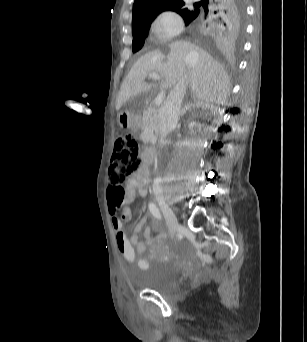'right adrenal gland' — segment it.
<instances>
[{
	"instance_id": "1",
	"label": "right adrenal gland",
	"mask_w": 307,
	"mask_h": 342,
	"mask_svg": "<svg viewBox=\"0 0 307 342\" xmlns=\"http://www.w3.org/2000/svg\"><path fill=\"white\" fill-rule=\"evenodd\" d=\"M194 106H196V108H200V106H202V104H200V102H196V104H191V108H194ZM187 110H190L189 106H185V108H183L181 114H186Z\"/></svg>"
}]
</instances>
